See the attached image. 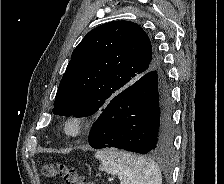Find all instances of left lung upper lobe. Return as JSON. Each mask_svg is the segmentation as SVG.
Wrapping results in <instances>:
<instances>
[{
    "label": "left lung upper lobe",
    "mask_w": 224,
    "mask_h": 184,
    "mask_svg": "<svg viewBox=\"0 0 224 184\" xmlns=\"http://www.w3.org/2000/svg\"><path fill=\"white\" fill-rule=\"evenodd\" d=\"M152 70H160V58L138 24L112 21L98 26L74 49L53 113L85 117L103 111L112 98Z\"/></svg>",
    "instance_id": "1"
}]
</instances>
